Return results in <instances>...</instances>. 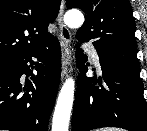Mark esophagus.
<instances>
[{
    "instance_id": "obj_1",
    "label": "esophagus",
    "mask_w": 147,
    "mask_h": 131,
    "mask_svg": "<svg viewBox=\"0 0 147 131\" xmlns=\"http://www.w3.org/2000/svg\"><path fill=\"white\" fill-rule=\"evenodd\" d=\"M64 0L61 1L59 13L57 16V22L60 28V44L62 51V68H61V80L63 81L65 77L68 75L71 69V64L73 61V54L70 47L72 41V35L68 27L65 25L63 21L64 15Z\"/></svg>"
}]
</instances>
